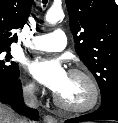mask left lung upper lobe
<instances>
[{"label":"left lung upper lobe","instance_id":"1","mask_svg":"<svg viewBox=\"0 0 118 123\" xmlns=\"http://www.w3.org/2000/svg\"><path fill=\"white\" fill-rule=\"evenodd\" d=\"M66 5L76 52L105 103L118 93V6L115 0H66Z\"/></svg>","mask_w":118,"mask_h":123}]
</instances>
